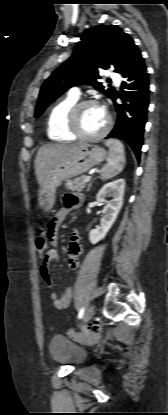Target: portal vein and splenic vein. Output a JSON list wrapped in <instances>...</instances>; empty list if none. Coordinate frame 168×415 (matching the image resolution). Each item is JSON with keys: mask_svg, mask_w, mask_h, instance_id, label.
Instances as JSON below:
<instances>
[{"mask_svg": "<svg viewBox=\"0 0 168 415\" xmlns=\"http://www.w3.org/2000/svg\"><path fill=\"white\" fill-rule=\"evenodd\" d=\"M90 179H91V176H86L85 179H84V182L87 183V182L90 181Z\"/></svg>", "mask_w": 168, "mask_h": 415, "instance_id": "portal-vein-and-splenic-vein-1", "label": "portal vein and splenic vein"}]
</instances>
